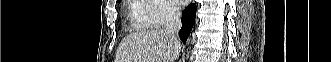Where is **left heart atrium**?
I'll list each match as a JSON object with an SVG mask.
<instances>
[{"label":"left heart atrium","mask_w":331,"mask_h":62,"mask_svg":"<svg viewBox=\"0 0 331 62\" xmlns=\"http://www.w3.org/2000/svg\"><path fill=\"white\" fill-rule=\"evenodd\" d=\"M176 2L179 3V4H183L185 1H183V0H177Z\"/></svg>","instance_id":"39dd6f15"}]
</instances>
